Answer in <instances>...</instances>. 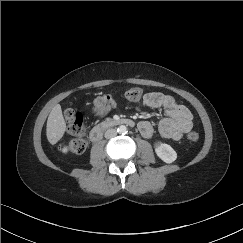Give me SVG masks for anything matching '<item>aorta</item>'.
Instances as JSON below:
<instances>
[{"mask_svg":"<svg viewBox=\"0 0 243 243\" xmlns=\"http://www.w3.org/2000/svg\"><path fill=\"white\" fill-rule=\"evenodd\" d=\"M117 132L119 134H126L127 133V127L125 125H120L118 128H117Z\"/></svg>","mask_w":243,"mask_h":243,"instance_id":"aorta-1","label":"aorta"}]
</instances>
